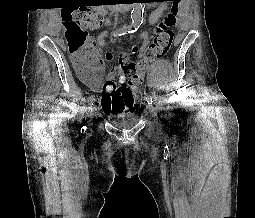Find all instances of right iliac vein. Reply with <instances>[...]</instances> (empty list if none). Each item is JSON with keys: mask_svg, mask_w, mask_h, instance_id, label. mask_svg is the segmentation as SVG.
Wrapping results in <instances>:
<instances>
[{"mask_svg": "<svg viewBox=\"0 0 255 218\" xmlns=\"http://www.w3.org/2000/svg\"><path fill=\"white\" fill-rule=\"evenodd\" d=\"M94 111H95V107L93 106V104L90 106L89 108V118L92 119L94 116Z\"/></svg>", "mask_w": 255, "mask_h": 218, "instance_id": "right-iliac-vein-1", "label": "right iliac vein"}]
</instances>
